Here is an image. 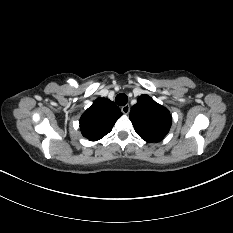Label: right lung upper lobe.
<instances>
[{
    "mask_svg": "<svg viewBox=\"0 0 233 233\" xmlns=\"http://www.w3.org/2000/svg\"><path fill=\"white\" fill-rule=\"evenodd\" d=\"M122 115L119 107L109 99L97 98L80 118L82 135L97 141L108 134Z\"/></svg>",
    "mask_w": 233,
    "mask_h": 233,
    "instance_id": "right-lung-upper-lobe-1",
    "label": "right lung upper lobe"
}]
</instances>
